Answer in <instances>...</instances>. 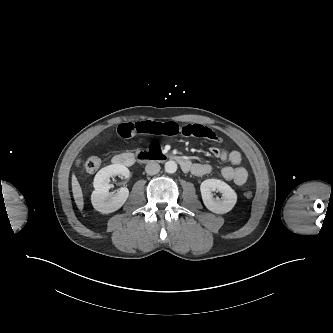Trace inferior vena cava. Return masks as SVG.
Wrapping results in <instances>:
<instances>
[{"instance_id": "inferior-vena-cava-1", "label": "inferior vena cava", "mask_w": 333, "mask_h": 333, "mask_svg": "<svg viewBox=\"0 0 333 333\" xmlns=\"http://www.w3.org/2000/svg\"><path fill=\"white\" fill-rule=\"evenodd\" d=\"M161 167L158 163H149L145 167V171L149 175H155L160 171Z\"/></svg>"}]
</instances>
